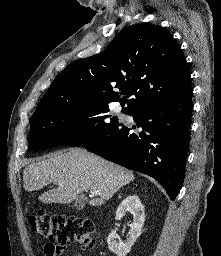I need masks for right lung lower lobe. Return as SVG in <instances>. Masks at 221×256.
I'll list each match as a JSON object with an SVG mask.
<instances>
[{
	"instance_id": "1",
	"label": "right lung lower lobe",
	"mask_w": 221,
	"mask_h": 256,
	"mask_svg": "<svg viewBox=\"0 0 221 256\" xmlns=\"http://www.w3.org/2000/svg\"><path fill=\"white\" fill-rule=\"evenodd\" d=\"M192 110V93L178 100L153 102L132 114L141 132H132L120 122L82 145L109 161L155 178L174 200L184 180Z\"/></svg>"
}]
</instances>
